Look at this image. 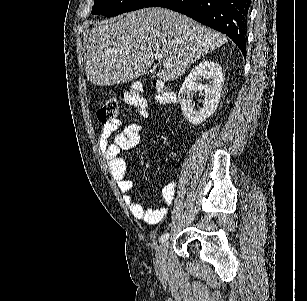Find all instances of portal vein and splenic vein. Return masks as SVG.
I'll return each instance as SVG.
<instances>
[{"label":"portal vein and splenic vein","mask_w":307,"mask_h":301,"mask_svg":"<svg viewBox=\"0 0 307 301\" xmlns=\"http://www.w3.org/2000/svg\"><path fill=\"white\" fill-rule=\"evenodd\" d=\"M155 58L157 60H161V54H155ZM163 66H170L169 62H163Z\"/></svg>","instance_id":"1"}]
</instances>
